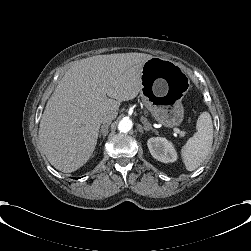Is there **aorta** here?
<instances>
[{"label": "aorta", "instance_id": "aorta-1", "mask_svg": "<svg viewBox=\"0 0 251 251\" xmlns=\"http://www.w3.org/2000/svg\"><path fill=\"white\" fill-rule=\"evenodd\" d=\"M133 126L132 120L130 118H123L118 125V129L121 132H128Z\"/></svg>", "mask_w": 251, "mask_h": 251}]
</instances>
